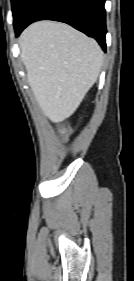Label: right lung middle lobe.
I'll return each instance as SVG.
<instances>
[{"label": "right lung middle lobe", "instance_id": "right-lung-middle-lobe-1", "mask_svg": "<svg viewBox=\"0 0 134 281\" xmlns=\"http://www.w3.org/2000/svg\"><path fill=\"white\" fill-rule=\"evenodd\" d=\"M31 0H11L12 12H13V23L15 29L19 27L23 20V16L30 4Z\"/></svg>", "mask_w": 134, "mask_h": 281}]
</instances>
